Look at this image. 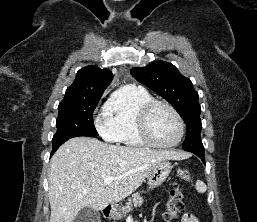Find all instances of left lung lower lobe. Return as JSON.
<instances>
[{
  "mask_svg": "<svg viewBox=\"0 0 257 222\" xmlns=\"http://www.w3.org/2000/svg\"><path fill=\"white\" fill-rule=\"evenodd\" d=\"M192 153L197 155L202 160V162L205 164L204 152H192Z\"/></svg>",
  "mask_w": 257,
  "mask_h": 222,
  "instance_id": "left-lung-lower-lobe-1",
  "label": "left lung lower lobe"
}]
</instances>
